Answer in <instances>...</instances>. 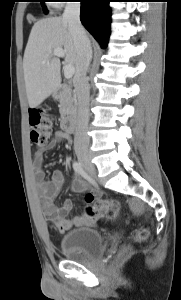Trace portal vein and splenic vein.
<instances>
[{
    "instance_id": "portal-vein-and-splenic-vein-1",
    "label": "portal vein and splenic vein",
    "mask_w": 181,
    "mask_h": 300,
    "mask_svg": "<svg viewBox=\"0 0 181 300\" xmlns=\"http://www.w3.org/2000/svg\"><path fill=\"white\" fill-rule=\"evenodd\" d=\"M53 55L56 57L63 58L65 56V51L62 48H56L53 50ZM75 73V68L73 65H65L64 66V76L67 79H70L73 77Z\"/></svg>"
}]
</instances>
